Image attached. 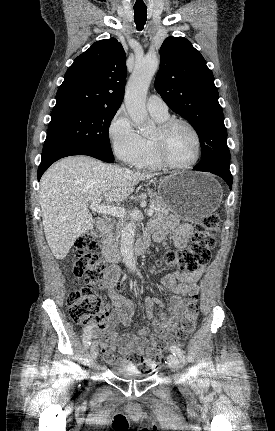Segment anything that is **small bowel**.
Listing matches in <instances>:
<instances>
[{
  "label": "small bowel",
  "instance_id": "small-bowel-1",
  "mask_svg": "<svg viewBox=\"0 0 275 431\" xmlns=\"http://www.w3.org/2000/svg\"><path fill=\"white\" fill-rule=\"evenodd\" d=\"M150 231L157 243H162L171 234L173 244L178 250L187 247L193 233L190 224H179L178 220L172 216L163 220H156L150 227ZM204 272L205 267L201 266L192 272L173 273L164 277L162 280L163 287L174 294L170 299L169 315L164 312L160 314L154 312L155 304L162 306L159 300L154 298L145 300V313L156 333L164 335L175 330L189 305V297L197 295L199 291L198 281ZM120 275V269L116 266L110 267L105 273L104 281L111 300V310L107 312L105 328L93 330V336L100 337L101 351L107 362H118L134 367L137 365L133 362V356L141 355L148 346L151 330L148 327H143L136 334L123 335L114 331L117 325L129 326L134 314L133 303L115 291ZM115 354L118 356L116 357Z\"/></svg>",
  "mask_w": 275,
  "mask_h": 431
}]
</instances>
